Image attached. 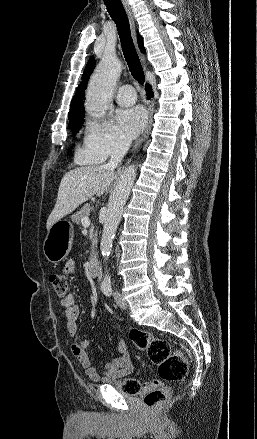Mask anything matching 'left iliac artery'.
Instances as JSON below:
<instances>
[{
    "label": "left iliac artery",
    "instance_id": "1",
    "mask_svg": "<svg viewBox=\"0 0 257 439\" xmlns=\"http://www.w3.org/2000/svg\"><path fill=\"white\" fill-rule=\"evenodd\" d=\"M101 289L103 293L107 296H110L112 294V286L110 282H103L101 285Z\"/></svg>",
    "mask_w": 257,
    "mask_h": 439
}]
</instances>
